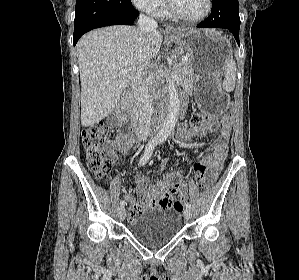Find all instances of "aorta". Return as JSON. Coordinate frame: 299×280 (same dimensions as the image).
<instances>
[{
  "mask_svg": "<svg viewBox=\"0 0 299 280\" xmlns=\"http://www.w3.org/2000/svg\"><path fill=\"white\" fill-rule=\"evenodd\" d=\"M166 82L169 94L168 114L162 125L161 130L158 132L156 136L158 139L161 140H165L174 129L180 110V100L177 86L170 76L166 77Z\"/></svg>",
  "mask_w": 299,
  "mask_h": 280,
  "instance_id": "obj_1",
  "label": "aorta"
}]
</instances>
